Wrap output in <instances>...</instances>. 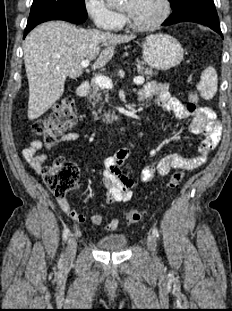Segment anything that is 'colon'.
Listing matches in <instances>:
<instances>
[{
	"instance_id": "5ec220e1",
	"label": "colon",
	"mask_w": 232,
	"mask_h": 311,
	"mask_svg": "<svg viewBox=\"0 0 232 311\" xmlns=\"http://www.w3.org/2000/svg\"><path fill=\"white\" fill-rule=\"evenodd\" d=\"M199 95L191 91L187 96L186 108L194 112L199 102ZM76 121L74 102L70 98L61 99L54 107L52 113L38 119L32 124V132L41 136L45 142H54L61 134L74 125ZM42 175L49 189L57 196H64L77 184L79 172L77 168L64 160L57 159L50 165L41 166ZM184 177L182 170L172 173L169 180V187L176 188ZM145 216V213L138 209L129 210L125 213V220L128 224H136Z\"/></svg>"
}]
</instances>
